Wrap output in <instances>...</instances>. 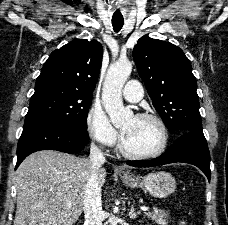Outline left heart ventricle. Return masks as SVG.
Wrapping results in <instances>:
<instances>
[{
  "label": "left heart ventricle",
  "instance_id": "1",
  "mask_svg": "<svg viewBox=\"0 0 228 225\" xmlns=\"http://www.w3.org/2000/svg\"><path fill=\"white\" fill-rule=\"evenodd\" d=\"M122 128L125 142L133 151L153 153L161 147L163 140L161 129L151 120L131 117Z\"/></svg>",
  "mask_w": 228,
  "mask_h": 225
}]
</instances>
